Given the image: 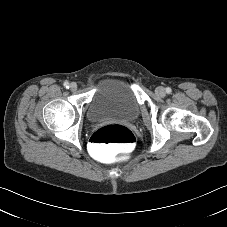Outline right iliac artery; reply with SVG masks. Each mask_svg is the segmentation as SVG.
I'll list each match as a JSON object with an SVG mask.
<instances>
[{
	"instance_id": "1",
	"label": "right iliac artery",
	"mask_w": 227,
	"mask_h": 227,
	"mask_svg": "<svg viewBox=\"0 0 227 227\" xmlns=\"http://www.w3.org/2000/svg\"><path fill=\"white\" fill-rule=\"evenodd\" d=\"M69 86H70V85H69L68 82H64V87H65V88H69Z\"/></svg>"
}]
</instances>
